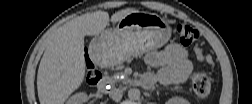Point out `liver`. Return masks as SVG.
I'll list each match as a JSON object with an SVG mask.
<instances>
[{
	"instance_id": "6515ba94",
	"label": "liver",
	"mask_w": 252,
	"mask_h": 104,
	"mask_svg": "<svg viewBox=\"0 0 252 104\" xmlns=\"http://www.w3.org/2000/svg\"><path fill=\"white\" fill-rule=\"evenodd\" d=\"M136 9L127 8L111 18L105 11L81 15L57 29L42 56L37 91L42 104H63L82 84L85 76L84 37L99 35Z\"/></svg>"
}]
</instances>
